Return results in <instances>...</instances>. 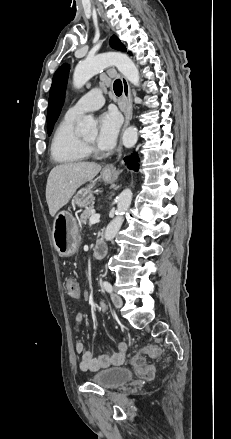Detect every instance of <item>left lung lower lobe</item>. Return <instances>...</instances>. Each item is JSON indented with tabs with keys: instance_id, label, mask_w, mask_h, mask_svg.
<instances>
[{
	"instance_id": "obj_1",
	"label": "left lung lower lobe",
	"mask_w": 231,
	"mask_h": 439,
	"mask_svg": "<svg viewBox=\"0 0 231 439\" xmlns=\"http://www.w3.org/2000/svg\"><path fill=\"white\" fill-rule=\"evenodd\" d=\"M138 160H139V158H138L136 153L124 158V161H125V164L127 165V167L131 170H134V171H137L139 169Z\"/></svg>"
}]
</instances>
